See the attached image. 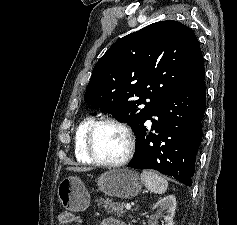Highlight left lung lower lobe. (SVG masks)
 Instances as JSON below:
<instances>
[{"label":"left lung lower lobe","mask_w":237,"mask_h":225,"mask_svg":"<svg viewBox=\"0 0 237 225\" xmlns=\"http://www.w3.org/2000/svg\"><path fill=\"white\" fill-rule=\"evenodd\" d=\"M205 108L204 81L158 101L134 131L135 153L128 167L155 169L191 186Z\"/></svg>","instance_id":"0a47b994"}]
</instances>
